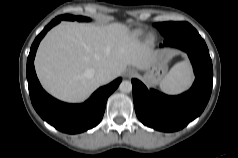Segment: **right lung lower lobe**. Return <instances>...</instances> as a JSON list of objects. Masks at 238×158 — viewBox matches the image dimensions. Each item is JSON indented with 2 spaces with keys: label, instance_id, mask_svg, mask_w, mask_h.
I'll list each match as a JSON object with an SVG mask.
<instances>
[{
  "label": "right lung lower lobe",
  "instance_id": "obj_1",
  "mask_svg": "<svg viewBox=\"0 0 238 158\" xmlns=\"http://www.w3.org/2000/svg\"><path fill=\"white\" fill-rule=\"evenodd\" d=\"M61 20H63L61 16L56 17L34 40L27 59L26 74L31 102L37 113L56 129L75 134L95 127L102 120L107 99L119 86L121 78L99 88L83 104L63 103L48 95L37 79L34 58L41 39L51 27Z\"/></svg>",
  "mask_w": 238,
  "mask_h": 158
}]
</instances>
